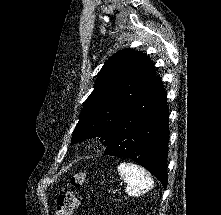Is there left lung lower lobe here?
I'll return each instance as SVG.
<instances>
[{
  "mask_svg": "<svg viewBox=\"0 0 221 215\" xmlns=\"http://www.w3.org/2000/svg\"><path fill=\"white\" fill-rule=\"evenodd\" d=\"M168 119L166 93L160 77L156 76L116 125L104 154L136 161L166 187Z\"/></svg>",
  "mask_w": 221,
  "mask_h": 215,
  "instance_id": "0a47b994",
  "label": "left lung lower lobe"
}]
</instances>
